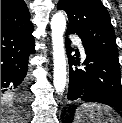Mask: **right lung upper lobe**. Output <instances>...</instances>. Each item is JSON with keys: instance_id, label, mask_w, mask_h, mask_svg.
<instances>
[{"instance_id": "1", "label": "right lung upper lobe", "mask_w": 122, "mask_h": 123, "mask_svg": "<svg viewBox=\"0 0 122 123\" xmlns=\"http://www.w3.org/2000/svg\"><path fill=\"white\" fill-rule=\"evenodd\" d=\"M28 31L33 29L30 13L23 0H1V31Z\"/></svg>"}]
</instances>
